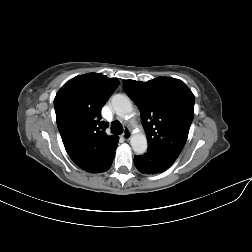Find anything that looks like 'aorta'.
<instances>
[{
  "label": "aorta",
  "instance_id": "1",
  "mask_svg": "<svg viewBox=\"0 0 252 252\" xmlns=\"http://www.w3.org/2000/svg\"><path fill=\"white\" fill-rule=\"evenodd\" d=\"M111 103L113 110L120 117H127L133 113L132 102L126 95H114ZM130 144L136 154H143L147 150V139L142 132L133 133L130 138Z\"/></svg>",
  "mask_w": 252,
  "mask_h": 252
}]
</instances>
